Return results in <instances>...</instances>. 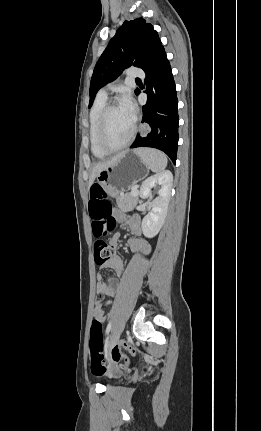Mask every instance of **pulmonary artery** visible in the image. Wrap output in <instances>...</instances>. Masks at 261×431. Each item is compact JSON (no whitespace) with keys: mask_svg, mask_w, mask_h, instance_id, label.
I'll list each match as a JSON object with an SVG mask.
<instances>
[{"mask_svg":"<svg viewBox=\"0 0 261 431\" xmlns=\"http://www.w3.org/2000/svg\"><path fill=\"white\" fill-rule=\"evenodd\" d=\"M144 75L145 74H144L143 70H141L139 68L133 67V68H129L127 70V76L130 78H142V77H144ZM99 94L106 95V89L105 88L101 89Z\"/></svg>","mask_w":261,"mask_h":431,"instance_id":"obj_1","label":"pulmonary artery"}]
</instances>
